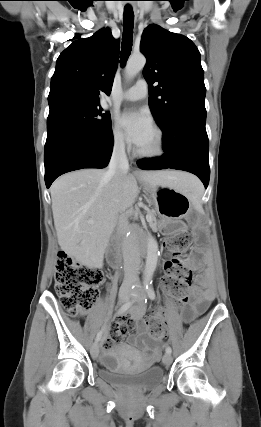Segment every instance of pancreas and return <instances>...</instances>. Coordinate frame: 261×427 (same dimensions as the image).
Wrapping results in <instances>:
<instances>
[{"label": "pancreas", "mask_w": 261, "mask_h": 427, "mask_svg": "<svg viewBox=\"0 0 261 427\" xmlns=\"http://www.w3.org/2000/svg\"><path fill=\"white\" fill-rule=\"evenodd\" d=\"M148 221H149V225L150 227L155 230L157 228V220H156V213L154 211H149L147 213Z\"/></svg>", "instance_id": "pancreas-1"}]
</instances>
